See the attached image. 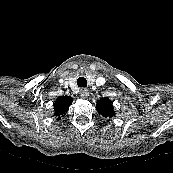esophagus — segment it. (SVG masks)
Returning <instances> with one entry per match:
<instances>
[{"label": "esophagus", "instance_id": "esophagus-1", "mask_svg": "<svg viewBox=\"0 0 173 173\" xmlns=\"http://www.w3.org/2000/svg\"><path fill=\"white\" fill-rule=\"evenodd\" d=\"M88 95H89V92H88V90H87L86 88H82V89L80 90V96H81L82 98H86Z\"/></svg>", "mask_w": 173, "mask_h": 173}]
</instances>
